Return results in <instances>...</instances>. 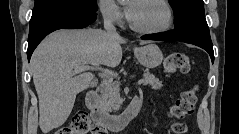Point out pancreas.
<instances>
[{
  "mask_svg": "<svg viewBox=\"0 0 239 134\" xmlns=\"http://www.w3.org/2000/svg\"><path fill=\"white\" fill-rule=\"evenodd\" d=\"M144 85L151 86L154 90H159L163 87L162 82L149 72L144 73ZM101 104L109 112L120 109L122 100L120 98V83L118 81H107L104 83L101 89Z\"/></svg>",
  "mask_w": 239,
  "mask_h": 134,
  "instance_id": "obj_1",
  "label": "pancreas"
}]
</instances>
